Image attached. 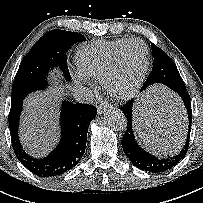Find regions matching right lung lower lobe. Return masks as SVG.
Returning <instances> with one entry per match:
<instances>
[{"label": "right lung lower lobe", "instance_id": "right-lung-lower-lobe-1", "mask_svg": "<svg viewBox=\"0 0 203 203\" xmlns=\"http://www.w3.org/2000/svg\"><path fill=\"white\" fill-rule=\"evenodd\" d=\"M22 104L21 101L12 105L8 118L12 146L18 160L39 177L60 176L75 167L85 151L88 127L96 117L97 109L93 105L64 101L60 114L61 141L47 157L36 159L23 150L19 141Z\"/></svg>", "mask_w": 203, "mask_h": 203}]
</instances>
